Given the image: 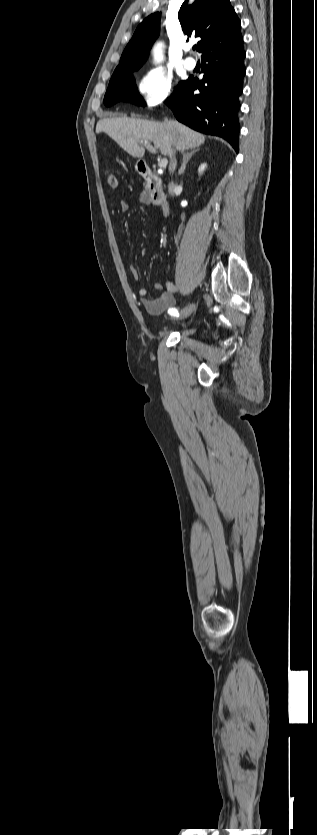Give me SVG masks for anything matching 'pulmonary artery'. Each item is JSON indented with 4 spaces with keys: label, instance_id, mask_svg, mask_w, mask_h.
Returning <instances> with one entry per match:
<instances>
[{
    "label": "pulmonary artery",
    "instance_id": "pulmonary-artery-1",
    "mask_svg": "<svg viewBox=\"0 0 317 835\" xmlns=\"http://www.w3.org/2000/svg\"><path fill=\"white\" fill-rule=\"evenodd\" d=\"M190 50H191V46H188V47H187V51H190ZM183 63H184V67H185L187 70H193V69H195V67H196V65H197V61H196V59H195L194 57H192V56H188V57H186V58L184 59V62H183Z\"/></svg>",
    "mask_w": 317,
    "mask_h": 835
}]
</instances>
